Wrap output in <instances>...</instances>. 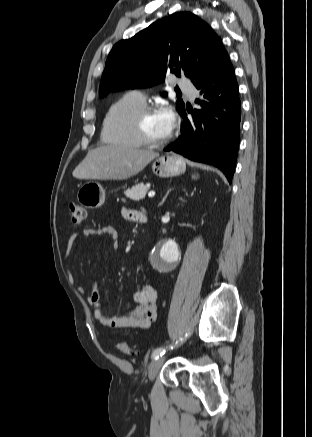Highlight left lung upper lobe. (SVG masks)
I'll list each match as a JSON object with an SVG mask.
<instances>
[{"label": "left lung upper lobe", "mask_w": 312, "mask_h": 437, "mask_svg": "<svg viewBox=\"0 0 312 437\" xmlns=\"http://www.w3.org/2000/svg\"><path fill=\"white\" fill-rule=\"evenodd\" d=\"M224 51L221 39L206 22L190 12H176L113 46L99 96L158 84L169 73L185 75L196 85ZM184 109V102L178 100V112Z\"/></svg>", "instance_id": "1"}]
</instances>
